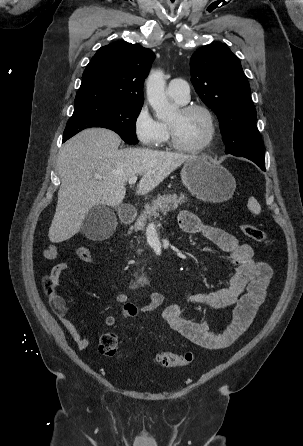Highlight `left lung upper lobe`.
<instances>
[{
	"label": "left lung upper lobe",
	"instance_id": "1",
	"mask_svg": "<svg viewBox=\"0 0 303 446\" xmlns=\"http://www.w3.org/2000/svg\"><path fill=\"white\" fill-rule=\"evenodd\" d=\"M191 82L218 117L226 153L265 162L250 85L239 59L223 44L207 45L190 60Z\"/></svg>",
	"mask_w": 303,
	"mask_h": 446
}]
</instances>
